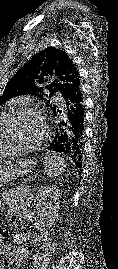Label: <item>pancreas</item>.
Segmentation results:
<instances>
[{
	"instance_id": "obj_1",
	"label": "pancreas",
	"mask_w": 118,
	"mask_h": 269,
	"mask_svg": "<svg viewBox=\"0 0 118 269\" xmlns=\"http://www.w3.org/2000/svg\"><path fill=\"white\" fill-rule=\"evenodd\" d=\"M33 178H28V181H32Z\"/></svg>"
}]
</instances>
